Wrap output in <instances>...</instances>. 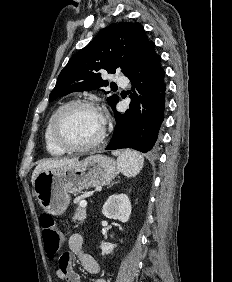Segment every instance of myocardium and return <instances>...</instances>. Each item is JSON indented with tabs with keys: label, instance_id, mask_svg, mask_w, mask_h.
I'll return each mask as SVG.
<instances>
[{
	"label": "myocardium",
	"instance_id": "myocardium-1",
	"mask_svg": "<svg viewBox=\"0 0 232 282\" xmlns=\"http://www.w3.org/2000/svg\"><path fill=\"white\" fill-rule=\"evenodd\" d=\"M75 106H83V107H88L91 108L95 111H97L99 113L98 107L97 105L90 100H86V99H77V100H71L67 103H65L64 105H62L53 115L52 120H51V125H50V134H51V138L53 140V142L62 150L67 151V152H83V151H88V150H92L96 147H98L100 144H102V142L104 141L105 137H106V129L104 124L102 125V131L99 135V137L94 140L91 143L88 144H83V145H72L69 144L67 142H65L64 140H62L60 138V136L58 135V123L59 120L61 118V116L63 115V113L68 110L71 107H75Z\"/></svg>",
	"mask_w": 232,
	"mask_h": 282
}]
</instances>
